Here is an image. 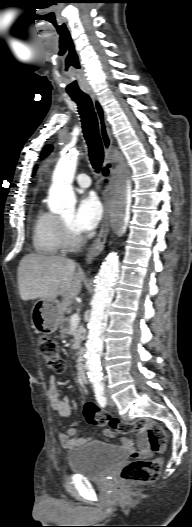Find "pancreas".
<instances>
[{
  "label": "pancreas",
  "instance_id": "pancreas-1",
  "mask_svg": "<svg viewBox=\"0 0 192 527\" xmlns=\"http://www.w3.org/2000/svg\"><path fill=\"white\" fill-rule=\"evenodd\" d=\"M71 331V325H70V318L62 319L60 324V332L63 335L69 334ZM84 328L82 326H77L75 331L73 332L74 340H75V348H79L81 341L84 339Z\"/></svg>",
  "mask_w": 192,
  "mask_h": 527
}]
</instances>
